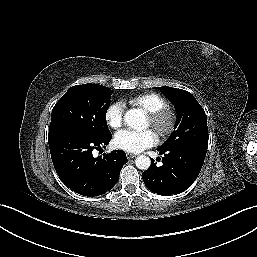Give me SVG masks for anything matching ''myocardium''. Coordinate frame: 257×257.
<instances>
[{"mask_svg": "<svg viewBox=\"0 0 257 257\" xmlns=\"http://www.w3.org/2000/svg\"><path fill=\"white\" fill-rule=\"evenodd\" d=\"M149 124L161 137L170 135L176 125V113L168 105L147 114Z\"/></svg>", "mask_w": 257, "mask_h": 257, "instance_id": "f54148a6", "label": "myocardium"}]
</instances>
